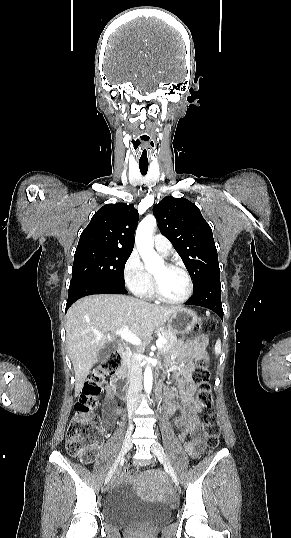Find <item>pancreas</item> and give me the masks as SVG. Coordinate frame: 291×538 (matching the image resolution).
Masks as SVG:
<instances>
[{
    "instance_id": "pancreas-1",
    "label": "pancreas",
    "mask_w": 291,
    "mask_h": 538,
    "mask_svg": "<svg viewBox=\"0 0 291 538\" xmlns=\"http://www.w3.org/2000/svg\"><path fill=\"white\" fill-rule=\"evenodd\" d=\"M161 336L167 340L166 343H164L161 347H159V351L166 352L170 350L175 342L177 341V336L175 333L171 332L170 330H162Z\"/></svg>"
}]
</instances>
